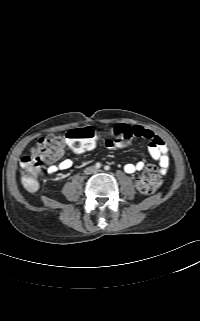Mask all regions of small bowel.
I'll return each mask as SVG.
<instances>
[{"instance_id":"small-bowel-1","label":"small bowel","mask_w":200,"mask_h":321,"mask_svg":"<svg viewBox=\"0 0 200 321\" xmlns=\"http://www.w3.org/2000/svg\"><path fill=\"white\" fill-rule=\"evenodd\" d=\"M132 128L137 133V137H141L149 141L148 153L150 157L153 160L158 162L162 174L166 173L169 166V156H168V148L165 142L162 140V138L156 135L153 131L143 128L141 126L135 125ZM106 146L109 149H114L117 146V144L113 139H108L106 141ZM75 152L82 153V151H77V150H75ZM62 154H63V151L56 158L47 162L48 163L47 173L54 174L60 170H67L72 167L73 165L72 160L68 158L61 159ZM57 161L59 162L56 163ZM145 166H146V159H142L136 163H126L123 168L126 173L133 174L135 172L142 171L145 168Z\"/></svg>"}]
</instances>
